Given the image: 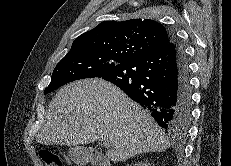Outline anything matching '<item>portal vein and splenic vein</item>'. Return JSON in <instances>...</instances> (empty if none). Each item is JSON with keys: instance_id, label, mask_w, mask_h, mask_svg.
<instances>
[{"instance_id": "portal-vein-and-splenic-vein-1", "label": "portal vein and splenic vein", "mask_w": 231, "mask_h": 166, "mask_svg": "<svg viewBox=\"0 0 231 166\" xmlns=\"http://www.w3.org/2000/svg\"><path fill=\"white\" fill-rule=\"evenodd\" d=\"M102 141L106 147L110 146V141L108 139H102Z\"/></svg>"}]
</instances>
